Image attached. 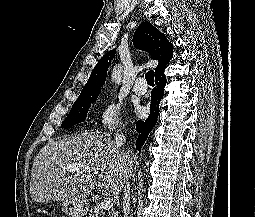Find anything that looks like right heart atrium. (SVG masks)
<instances>
[{
  "mask_svg": "<svg viewBox=\"0 0 255 217\" xmlns=\"http://www.w3.org/2000/svg\"><path fill=\"white\" fill-rule=\"evenodd\" d=\"M122 115V104L117 100L108 99L97 112L96 126L99 130L117 131L123 124Z\"/></svg>",
  "mask_w": 255,
  "mask_h": 217,
  "instance_id": "1",
  "label": "right heart atrium"
}]
</instances>
